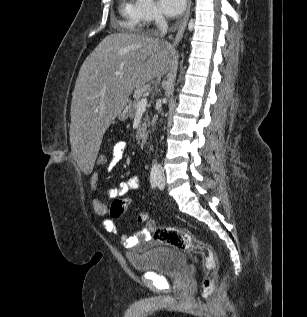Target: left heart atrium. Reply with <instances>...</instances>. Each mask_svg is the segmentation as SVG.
I'll list each match as a JSON object with an SVG mask.
<instances>
[{"mask_svg": "<svg viewBox=\"0 0 307 317\" xmlns=\"http://www.w3.org/2000/svg\"><path fill=\"white\" fill-rule=\"evenodd\" d=\"M186 0H159L158 7L160 11L168 17H176L181 14L185 8Z\"/></svg>", "mask_w": 307, "mask_h": 317, "instance_id": "obj_1", "label": "left heart atrium"}]
</instances>
